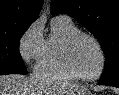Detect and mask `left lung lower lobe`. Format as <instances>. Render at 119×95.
<instances>
[{"label":"left lung lower lobe","instance_id":"left-lung-lower-lobe-1","mask_svg":"<svg viewBox=\"0 0 119 95\" xmlns=\"http://www.w3.org/2000/svg\"><path fill=\"white\" fill-rule=\"evenodd\" d=\"M99 84H101V83L99 82ZM101 85H106V84H101ZM113 86H115V87H118V88H119V84H115V85H113Z\"/></svg>","mask_w":119,"mask_h":95}]
</instances>
